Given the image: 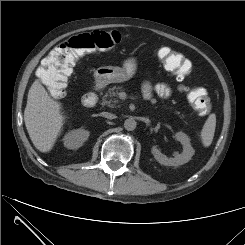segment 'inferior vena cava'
<instances>
[{
    "label": "inferior vena cava",
    "instance_id": "1",
    "mask_svg": "<svg viewBox=\"0 0 245 245\" xmlns=\"http://www.w3.org/2000/svg\"><path fill=\"white\" fill-rule=\"evenodd\" d=\"M102 116L107 118V119H115L116 118V116L114 114L108 113V112H103Z\"/></svg>",
    "mask_w": 245,
    "mask_h": 245
}]
</instances>
